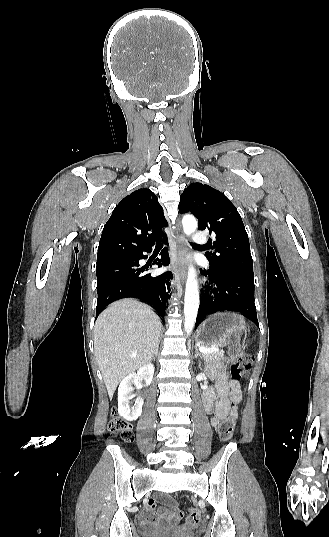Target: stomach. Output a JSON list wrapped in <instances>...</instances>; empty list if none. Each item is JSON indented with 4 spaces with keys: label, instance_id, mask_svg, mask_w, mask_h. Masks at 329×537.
I'll list each match as a JSON object with an SVG mask.
<instances>
[{
    "label": "stomach",
    "instance_id": "0dacf381",
    "mask_svg": "<svg viewBox=\"0 0 329 537\" xmlns=\"http://www.w3.org/2000/svg\"><path fill=\"white\" fill-rule=\"evenodd\" d=\"M247 332L244 318L237 313L217 312L206 319L197 329V343L226 345Z\"/></svg>",
    "mask_w": 329,
    "mask_h": 537
}]
</instances>
